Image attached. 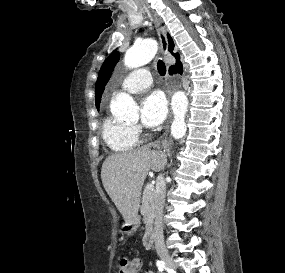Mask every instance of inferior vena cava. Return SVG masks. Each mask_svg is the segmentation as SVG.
Returning <instances> with one entry per match:
<instances>
[{
	"label": "inferior vena cava",
	"instance_id": "inferior-vena-cava-1",
	"mask_svg": "<svg viewBox=\"0 0 285 273\" xmlns=\"http://www.w3.org/2000/svg\"><path fill=\"white\" fill-rule=\"evenodd\" d=\"M165 193H166V183L164 180V176L160 174L157 177L156 191L153 203V211L155 216L154 240H155V249L158 254L167 253V249L164 244L163 223H162Z\"/></svg>",
	"mask_w": 285,
	"mask_h": 273
}]
</instances>
